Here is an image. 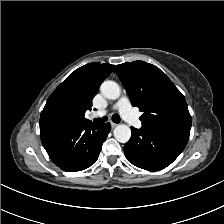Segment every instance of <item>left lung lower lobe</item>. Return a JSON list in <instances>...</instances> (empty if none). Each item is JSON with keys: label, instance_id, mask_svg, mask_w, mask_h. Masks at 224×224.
<instances>
[{"label": "left lung lower lobe", "instance_id": "0a47b994", "mask_svg": "<svg viewBox=\"0 0 224 224\" xmlns=\"http://www.w3.org/2000/svg\"><path fill=\"white\" fill-rule=\"evenodd\" d=\"M131 129L132 136L124 145V154L130 163L149 171L170 165L188 142L187 138L164 131Z\"/></svg>", "mask_w": 224, "mask_h": 224}]
</instances>
